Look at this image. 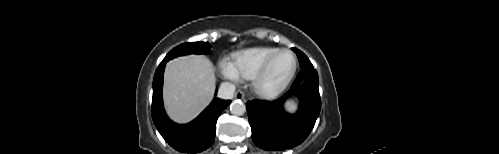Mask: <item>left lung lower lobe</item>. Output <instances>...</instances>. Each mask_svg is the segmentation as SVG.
I'll return each mask as SVG.
<instances>
[{
	"label": "left lung lower lobe",
	"mask_w": 499,
	"mask_h": 154,
	"mask_svg": "<svg viewBox=\"0 0 499 154\" xmlns=\"http://www.w3.org/2000/svg\"><path fill=\"white\" fill-rule=\"evenodd\" d=\"M294 51L298 49L293 48ZM300 51V50H299ZM304 80L300 86V81ZM318 74L313 68H302L291 89L281 98L269 102L253 100L246 104L252 140L264 150L279 151L302 143L314 127L321 109ZM300 97L296 114H288L283 103L292 94Z\"/></svg>",
	"instance_id": "left-lung-lower-lobe-1"
}]
</instances>
